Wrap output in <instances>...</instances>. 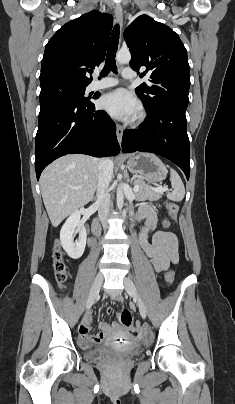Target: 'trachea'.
I'll use <instances>...</instances> for the list:
<instances>
[{
  "label": "trachea",
  "mask_w": 235,
  "mask_h": 404,
  "mask_svg": "<svg viewBox=\"0 0 235 404\" xmlns=\"http://www.w3.org/2000/svg\"><path fill=\"white\" fill-rule=\"evenodd\" d=\"M118 41H119V25L117 24L115 25L111 35V40L105 60V66L102 72L100 73L101 77L107 76L110 71H113L114 73L117 72L115 56L118 49Z\"/></svg>",
  "instance_id": "1"
}]
</instances>
